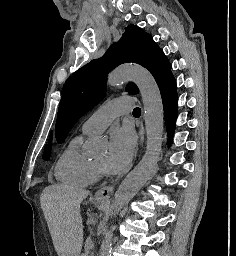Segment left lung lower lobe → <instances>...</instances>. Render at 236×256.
I'll use <instances>...</instances> for the list:
<instances>
[{
    "instance_id": "0a47b994",
    "label": "left lung lower lobe",
    "mask_w": 236,
    "mask_h": 256,
    "mask_svg": "<svg viewBox=\"0 0 236 256\" xmlns=\"http://www.w3.org/2000/svg\"><path fill=\"white\" fill-rule=\"evenodd\" d=\"M157 84L159 86L161 97H162L166 127H167V133H168V140L170 143L174 133L175 121L177 118V103H178L177 93H176V83L171 71L168 72L165 76H163L157 82Z\"/></svg>"
}]
</instances>
